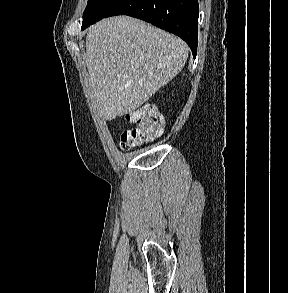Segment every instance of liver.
Returning a JSON list of instances; mask_svg holds the SVG:
<instances>
[{
  "instance_id": "6515ba94",
  "label": "liver",
  "mask_w": 288,
  "mask_h": 293,
  "mask_svg": "<svg viewBox=\"0 0 288 293\" xmlns=\"http://www.w3.org/2000/svg\"><path fill=\"white\" fill-rule=\"evenodd\" d=\"M188 46L139 19L116 16L87 30L90 87L106 120L132 113L184 67Z\"/></svg>"
}]
</instances>
